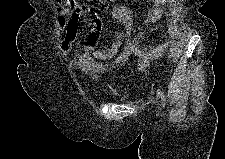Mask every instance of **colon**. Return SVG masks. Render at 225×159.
<instances>
[{"label": "colon", "mask_w": 225, "mask_h": 159, "mask_svg": "<svg viewBox=\"0 0 225 159\" xmlns=\"http://www.w3.org/2000/svg\"><path fill=\"white\" fill-rule=\"evenodd\" d=\"M59 1H61V2H63V3H66V4H70V2H72V0H59ZM100 1L112 2V1H114V0H100Z\"/></svg>", "instance_id": "obj_1"}]
</instances>
